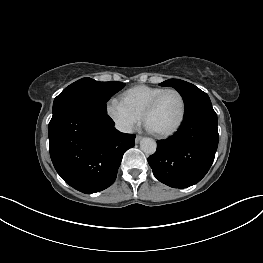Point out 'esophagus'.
<instances>
[{
    "label": "esophagus",
    "mask_w": 263,
    "mask_h": 263,
    "mask_svg": "<svg viewBox=\"0 0 263 263\" xmlns=\"http://www.w3.org/2000/svg\"><path fill=\"white\" fill-rule=\"evenodd\" d=\"M141 139H142V136L137 135L136 138H135V143L136 144L139 143Z\"/></svg>",
    "instance_id": "1"
}]
</instances>
